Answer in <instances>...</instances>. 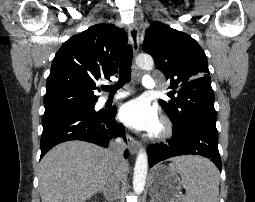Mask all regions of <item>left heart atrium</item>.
I'll list each match as a JSON object with an SVG mask.
<instances>
[{"instance_id": "left-heart-atrium-1", "label": "left heart atrium", "mask_w": 255, "mask_h": 202, "mask_svg": "<svg viewBox=\"0 0 255 202\" xmlns=\"http://www.w3.org/2000/svg\"><path fill=\"white\" fill-rule=\"evenodd\" d=\"M119 118L127 126L139 131L153 132L159 126L157 109L141 98L125 103L120 108Z\"/></svg>"}]
</instances>
